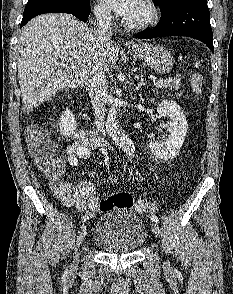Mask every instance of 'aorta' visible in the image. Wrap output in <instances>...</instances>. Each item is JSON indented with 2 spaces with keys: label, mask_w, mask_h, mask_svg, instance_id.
<instances>
[{
  "label": "aorta",
  "mask_w": 233,
  "mask_h": 294,
  "mask_svg": "<svg viewBox=\"0 0 233 294\" xmlns=\"http://www.w3.org/2000/svg\"><path fill=\"white\" fill-rule=\"evenodd\" d=\"M116 106V103L112 104L111 108L108 111V116L105 124L106 130L109 136L122 148V150L131 159L135 153V146L134 143L119 129Z\"/></svg>",
  "instance_id": "aorta-1"
}]
</instances>
